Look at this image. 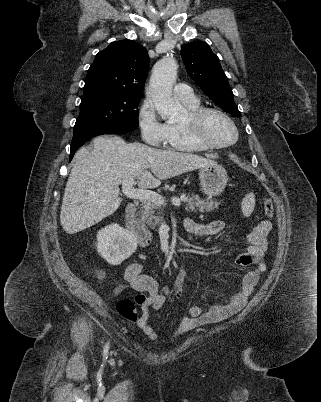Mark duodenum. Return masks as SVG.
<instances>
[{"label": "duodenum", "instance_id": "obj_1", "mask_svg": "<svg viewBox=\"0 0 321 402\" xmlns=\"http://www.w3.org/2000/svg\"><path fill=\"white\" fill-rule=\"evenodd\" d=\"M126 228L135 236L137 242L143 246H150L153 242L151 232L135 217V207L133 204L127 206L124 215Z\"/></svg>", "mask_w": 321, "mask_h": 402}]
</instances>
